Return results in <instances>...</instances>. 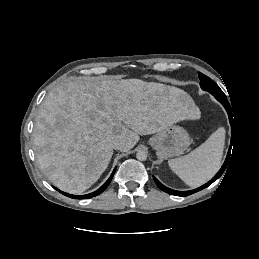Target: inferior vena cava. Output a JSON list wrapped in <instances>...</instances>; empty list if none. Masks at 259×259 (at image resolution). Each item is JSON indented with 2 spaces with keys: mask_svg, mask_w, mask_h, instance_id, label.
Wrapping results in <instances>:
<instances>
[{
  "mask_svg": "<svg viewBox=\"0 0 259 259\" xmlns=\"http://www.w3.org/2000/svg\"><path fill=\"white\" fill-rule=\"evenodd\" d=\"M111 145L112 148L120 150L123 147V142L119 139H115L114 141H112Z\"/></svg>",
  "mask_w": 259,
  "mask_h": 259,
  "instance_id": "inferior-vena-cava-1",
  "label": "inferior vena cava"
}]
</instances>
